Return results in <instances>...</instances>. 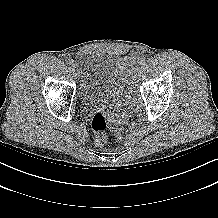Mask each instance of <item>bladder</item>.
<instances>
[{"label":"bladder","mask_w":218,"mask_h":218,"mask_svg":"<svg viewBox=\"0 0 218 218\" xmlns=\"http://www.w3.org/2000/svg\"><path fill=\"white\" fill-rule=\"evenodd\" d=\"M79 98L84 106L108 104L133 77L135 59L82 52L77 58Z\"/></svg>","instance_id":"31cf9c89"}]
</instances>
